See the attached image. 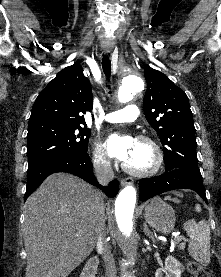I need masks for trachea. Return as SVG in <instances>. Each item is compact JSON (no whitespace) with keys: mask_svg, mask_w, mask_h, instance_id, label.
<instances>
[{"mask_svg":"<svg viewBox=\"0 0 221 277\" xmlns=\"http://www.w3.org/2000/svg\"><path fill=\"white\" fill-rule=\"evenodd\" d=\"M102 68H103V72L106 75V77L109 78V76L111 74V60L108 55H104L102 58ZM108 87H109V85H108Z\"/></svg>","mask_w":221,"mask_h":277,"instance_id":"1","label":"trachea"}]
</instances>
